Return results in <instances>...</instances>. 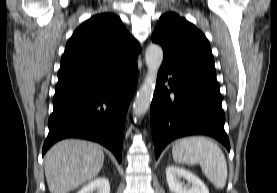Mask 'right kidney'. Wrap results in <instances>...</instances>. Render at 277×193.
<instances>
[{"instance_id": "right-kidney-1", "label": "right kidney", "mask_w": 277, "mask_h": 193, "mask_svg": "<svg viewBox=\"0 0 277 193\" xmlns=\"http://www.w3.org/2000/svg\"><path fill=\"white\" fill-rule=\"evenodd\" d=\"M77 193H110V183L107 178H97L89 182Z\"/></svg>"}]
</instances>
